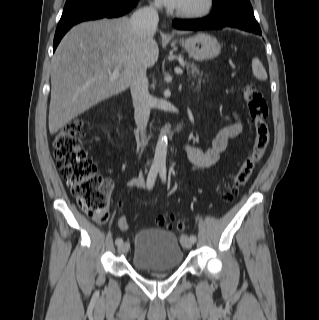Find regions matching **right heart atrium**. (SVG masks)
Listing matches in <instances>:
<instances>
[{
	"label": "right heart atrium",
	"mask_w": 319,
	"mask_h": 320,
	"mask_svg": "<svg viewBox=\"0 0 319 320\" xmlns=\"http://www.w3.org/2000/svg\"><path fill=\"white\" fill-rule=\"evenodd\" d=\"M150 5H151V7L153 9H159L160 8L159 0H153Z\"/></svg>",
	"instance_id": "obj_1"
}]
</instances>
